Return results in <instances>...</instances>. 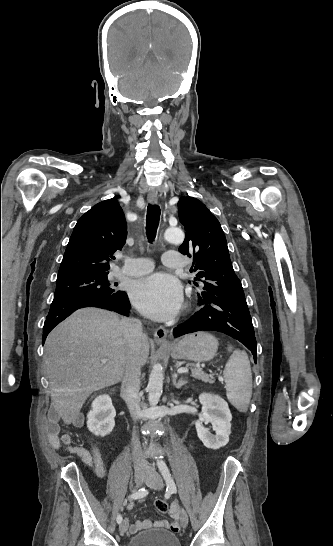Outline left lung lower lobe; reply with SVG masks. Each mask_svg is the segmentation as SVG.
<instances>
[{
	"mask_svg": "<svg viewBox=\"0 0 333 546\" xmlns=\"http://www.w3.org/2000/svg\"><path fill=\"white\" fill-rule=\"evenodd\" d=\"M198 305L200 309L189 320L174 328V337L197 331L222 332L243 343L256 363L257 342L245 298L221 299L198 294Z\"/></svg>",
	"mask_w": 333,
	"mask_h": 546,
	"instance_id": "1",
	"label": "left lung lower lobe"
}]
</instances>
